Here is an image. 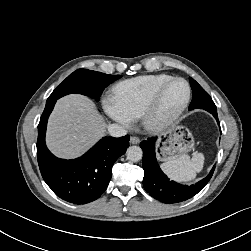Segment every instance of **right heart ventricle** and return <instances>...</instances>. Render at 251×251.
<instances>
[{
    "label": "right heart ventricle",
    "mask_w": 251,
    "mask_h": 251,
    "mask_svg": "<svg viewBox=\"0 0 251 251\" xmlns=\"http://www.w3.org/2000/svg\"><path fill=\"white\" fill-rule=\"evenodd\" d=\"M173 78L167 74L138 76L116 85L114 97L120 107L133 119L141 116L153 93Z\"/></svg>",
    "instance_id": "1"
}]
</instances>
